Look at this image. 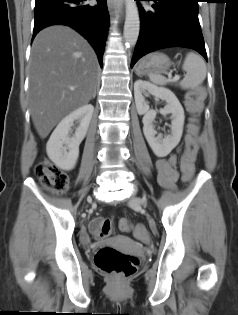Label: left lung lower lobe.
I'll return each instance as SVG.
<instances>
[{
	"label": "left lung lower lobe",
	"instance_id": "left-lung-lower-lobe-1",
	"mask_svg": "<svg viewBox=\"0 0 238 315\" xmlns=\"http://www.w3.org/2000/svg\"><path fill=\"white\" fill-rule=\"evenodd\" d=\"M149 1V0H134ZM152 10L139 7L140 34L131 67L144 55L167 47L198 51L206 60L204 38L198 19V0H152Z\"/></svg>",
	"mask_w": 238,
	"mask_h": 315
}]
</instances>
